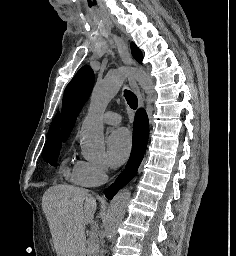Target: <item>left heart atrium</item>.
<instances>
[{"instance_id":"39dd6f15","label":"left heart atrium","mask_w":236,"mask_h":256,"mask_svg":"<svg viewBox=\"0 0 236 256\" xmlns=\"http://www.w3.org/2000/svg\"><path fill=\"white\" fill-rule=\"evenodd\" d=\"M132 149V136L129 130L119 128L107 139V159L112 167H119L128 158Z\"/></svg>"}]
</instances>
